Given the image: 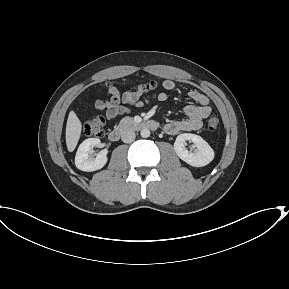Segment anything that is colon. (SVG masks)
<instances>
[{"instance_id":"obj_1","label":"colon","mask_w":289,"mask_h":289,"mask_svg":"<svg viewBox=\"0 0 289 289\" xmlns=\"http://www.w3.org/2000/svg\"><path fill=\"white\" fill-rule=\"evenodd\" d=\"M155 84L153 82L142 84V94L149 96L155 90ZM220 125L219 118L215 115H211L207 120V128L209 131H216ZM105 122L100 116H94L90 118L84 125V133L87 136L101 137L105 133Z\"/></svg>"}]
</instances>
